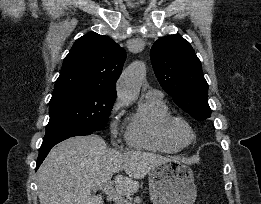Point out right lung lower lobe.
Masks as SVG:
<instances>
[{"label": "right lung lower lobe", "mask_w": 261, "mask_h": 204, "mask_svg": "<svg viewBox=\"0 0 261 204\" xmlns=\"http://www.w3.org/2000/svg\"><path fill=\"white\" fill-rule=\"evenodd\" d=\"M92 133H93V131H81V132H75V133L58 134V135H55V136H52V137H49V138H44L43 143H42V145L39 149V156H38V159H37L36 170L41 165V163L43 162V160L45 159V157L47 156V154L49 153L51 148L54 145H56L57 143L65 140V139H68L70 137L90 135Z\"/></svg>", "instance_id": "right-lung-lower-lobe-1"}]
</instances>
